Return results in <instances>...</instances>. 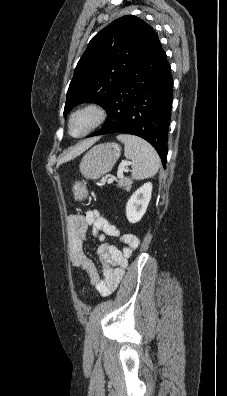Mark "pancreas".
<instances>
[{
    "label": "pancreas",
    "mask_w": 227,
    "mask_h": 396,
    "mask_svg": "<svg viewBox=\"0 0 227 396\" xmlns=\"http://www.w3.org/2000/svg\"><path fill=\"white\" fill-rule=\"evenodd\" d=\"M131 180L129 178H120L118 180V186L124 190L129 191L131 188Z\"/></svg>",
    "instance_id": "cf45deb5"
}]
</instances>
